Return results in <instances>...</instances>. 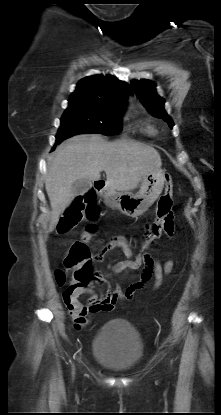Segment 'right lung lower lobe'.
<instances>
[{"instance_id":"obj_1","label":"right lung lower lobe","mask_w":221,"mask_h":415,"mask_svg":"<svg viewBox=\"0 0 221 415\" xmlns=\"http://www.w3.org/2000/svg\"><path fill=\"white\" fill-rule=\"evenodd\" d=\"M58 143H60V142L56 141V145H57Z\"/></svg>"}]
</instances>
